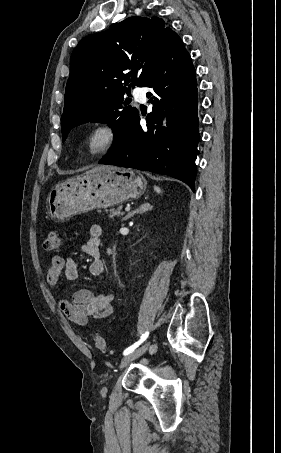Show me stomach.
Instances as JSON below:
<instances>
[{"label": "stomach", "mask_w": 281, "mask_h": 453, "mask_svg": "<svg viewBox=\"0 0 281 453\" xmlns=\"http://www.w3.org/2000/svg\"><path fill=\"white\" fill-rule=\"evenodd\" d=\"M146 186L144 176L137 174V170L120 166L75 176L58 182L50 190L47 196L48 214L53 220H67L74 214L139 198Z\"/></svg>", "instance_id": "stomach-1"}]
</instances>
